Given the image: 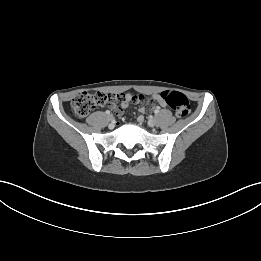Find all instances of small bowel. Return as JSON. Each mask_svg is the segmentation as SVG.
Segmentation results:
<instances>
[{"instance_id": "1", "label": "small bowel", "mask_w": 261, "mask_h": 261, "mask_svg": "<svg viewBox=\"0 0 261 261\" xmlns=\"http://www.w3.org/2000/svg\"><path fill=\"white\" fill-rule=\"evenodd\" d=\"M121 105L118 106L115 102H111L109 104V106L120 112L123 108H126L129 103L132 106H143L142 108H140L139 113L140 116L144 115L147 111V109L145 108L146 106H151L152 105V100L146 95V94H141V93H134L132 95L130 94H121ZM152 99L156 102H158L162 107H166L167 104L161 99L160 94H153Z\"/></svg>"}]
</instances>
